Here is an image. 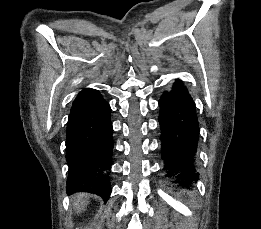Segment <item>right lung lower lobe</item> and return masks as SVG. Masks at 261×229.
<instances>
[{"instance_id": "obj_1", "label": "right lung lower lobe", "mask_w": 261, "mask_h": 229, "mask_svg": "<svg viewBox=\"0 0 261 229\" xmlns=\"http://www.w3.org/2000/svg\"><path fill=\"white\" fill-rule=\"evenodd\" d=\"M111 108L97 90L84 89L73 102L66 131L67 193L110 197L114 141Z\"/></svg>"}]
</instances>
